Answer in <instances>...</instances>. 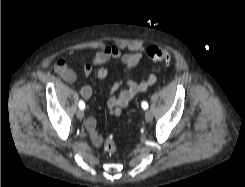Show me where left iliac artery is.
<instances>
[{
  "mask_svg": "<svg viewBox=\"0 0 245 187\" xmlns=\"http://www.w3.org/2000/svg\"><path fill=\"white\" fill-rule=\"evenodd\" d=\"M141 106H142L143 109H147V108H148V103L145 102V101H143V102L141 103Z\"/></svg>",
  "mask_w": 245,
  "mask_h": 187,
  "instance_id": "obj_1",
  "label": "left iliac artery"
}]
</instances>
